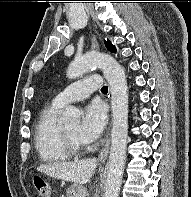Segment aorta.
I'll return each mask as SVG.
<instances>
[{"label":"aorta","instance_id":"aorta-1","mask_svg":"<svg viewBox=\"0 0 191 197\" xmlns=\"http://www.w3.org/2000/svg\"><path fill=\"white\" fill-rule=\"evenodd\" d=\"M101 68L106 78L112 105V132L108 173L104 197H118L126 160L128 137V87L124 69L110 55L102 53L86 54L72 61L67 69V77L75 79L90 71ZM64 125L80 124V111L69 106L62 114Z\"/></svg>","mask_w":191,"mask_h":197}]
</instances>
